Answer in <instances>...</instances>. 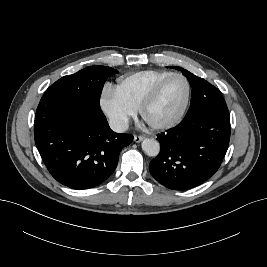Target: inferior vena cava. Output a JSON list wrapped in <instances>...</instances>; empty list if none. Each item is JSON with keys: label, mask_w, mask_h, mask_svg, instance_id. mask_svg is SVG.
I'll return each instance as SVG.
<instances>
[{"label": "inferior vena cava", "mask_w": 267, "mask_h": 267, "mask_svg": "<svg viewBox=\"0 0 267 267\" xmlns=\"http://www.w3.org/2000/svg\"><path fill=\"white\" fill-rule=\"evenodd\" d=\"M110 128L117 133L125 132L129 125L128 121L123 117H116L109 120Z\"/></svg>", "instance_id": "602c4592"}]
</instances>
